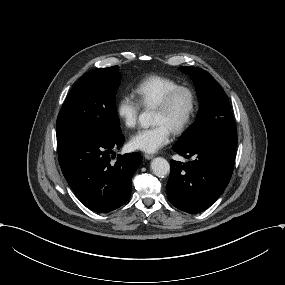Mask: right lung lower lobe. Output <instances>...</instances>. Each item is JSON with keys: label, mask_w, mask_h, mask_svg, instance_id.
Listing matches in <instances>:
<instances>
[{"label": "right lung lower lobe", "mask_w": 285, "mask_h": 285, "mask_svg": "<svg viewBox=\"0 0 285 285\" xmlns=\"http://www.w3.org/2000/svg\"><path fill=\"white\" fill-rule=\"evenodd\" d=\"M124 136L73 135L57 138L61 170L78 199L90 210L106 213L125 204L131 195L132 176L141 163L138 153L118 156Z\"/></svg>", "instance_id": "obj_1"}]
</instances>
